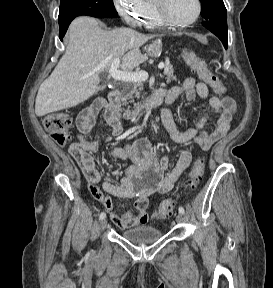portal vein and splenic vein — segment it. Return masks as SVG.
<instances>
[{"label":"portal vein and splenic vein","instance_id":"obj_1","mask_svg":"<svg viewBox=\"0 0 273 288\" xmlns=\"http://www.w3.org/2000/svg\"><path fill=\"white\" fill-rule=\"evenodd\" d=\"M119 63V58H116L113 60L111 67L109 68L108 73L113 79L122 82H141L148 79V73L146 71L123 72L118 70ZM164 66V63H160L158 68L162 69Z\"/></svg>","mask_w":273,"mask_h":288}]
</instances>
